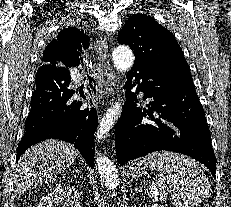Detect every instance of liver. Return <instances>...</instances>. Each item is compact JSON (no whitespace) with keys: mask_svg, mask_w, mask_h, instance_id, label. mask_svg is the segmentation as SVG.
Masks as SVG:
<instances>
[{"mask_svg":"<svg viewBox=\"0 0 231 207\" xmlns=\"http://www.w3.org/2000/svg\"><path fill=\"white\" fill-rule=\"evenodd\" d=\"M79 152L70 143L60 140H46L30 147L16 166L14 193L24 194L33 186L53 182L58 174L67 169Z\"/></svg>","mask_w":231,"mask_h":207,"instance_id":"obj_1","label":"liver"}]
</instances>
